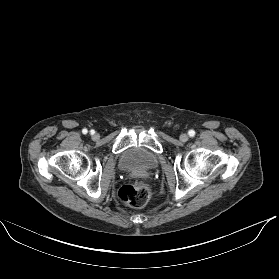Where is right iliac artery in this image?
Here are the masks:
<instances>
[{
  "instance_id": "1",
  "label": "right iliac artery",
  "mask_w": 279,
  "mask_h": 279,
  "mask_svg": "<svg viewBox=\"0 0 279 279\" xmlns=\"http://www.w3.org/2000/svg\"><path fill=\"white\" fill-rule=\"evenodd\" d=\"M82 132H83V134H87L88 130H87V129H83ZM90 133H91V134H94L95 131H94V130H91Z\"/></svg>"
}]
</instances>
